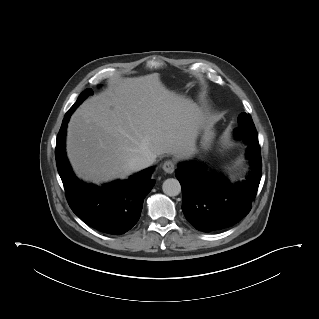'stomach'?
Returning <instances> with one entry per match:
<instances>
[{"mask_svg":"<svg viewBox=\"0 0 319 319\" xmlns=\"http://www.w3.org/2000/svg\"><path fill=\"white\" fill-rule=\"evenodd\" d=\"M201 129V147L204 151H208L211 148L215 138L214 122L211 120H205Z\"/></svg>","mask_w":319,"mask_h":319,"instance_id":"stomach-1","label":"stomach"}]
</instances>
